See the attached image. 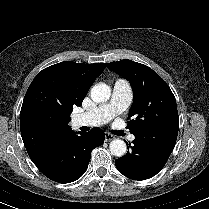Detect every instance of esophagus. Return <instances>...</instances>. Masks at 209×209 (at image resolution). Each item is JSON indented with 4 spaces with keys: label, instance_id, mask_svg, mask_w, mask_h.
<instances>
[{
    "label": "esophagus",
    "instance_id": "obj_1",
    "mask_svg": "<svg viewBox=\"0 0 209 209\" xmlns=\"http://www.w3.org/2000/svg\"><path fill=\"white\" fill-rule=\"evenodd\" d=\"M114 138L115 137L113 135L109 134V133H105V135H104V140L106 142H109V141L113 140Z\"/></svg>",
    "mask_w": 209,
    "mask_h": 209
}]
</instances>
